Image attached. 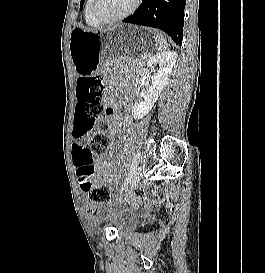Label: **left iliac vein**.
<instances>
[{"instance_id":"4c4485c4","label":"left iliac vein","mask_w":265,"mask_h":273,"mask_svg":"<svg viewBox=\"0 0 265 273\" xmlns=\"http://www.w3.org/2000/svg\"><path fill=\"white\" fill-rule=\"evenodd\" d=\"M141 177H142V168L138 167V168H136L135 172L132 175L130 189H129L127 195H129L132 192V190L136 187V185L140 181Z\"/></svg>"}]
</instances>
